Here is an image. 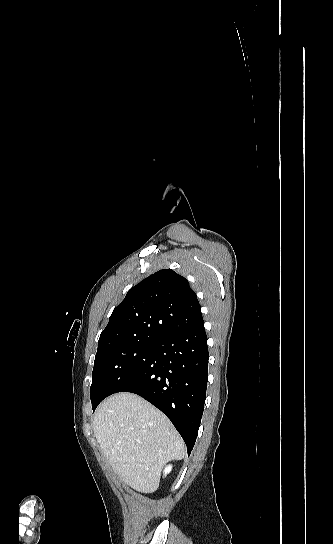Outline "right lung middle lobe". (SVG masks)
Returning <instances> with one entry per match:
<instances>
[{"label":"right lung middle lobe","instance_id":"1","mask_svg":"<svg viewBox=\"0 0 333 544\" xmlns=\"http://www.w3.org/2000/svg\"><path fill=\"white\" fill-rule=\"evenodd\" d=\"M155 345L156 341L135 342L96 354L90 388L93 410L135 378L151 358Z\"/></svg>","mask_w":333,"mask_h":544}]
</instances>
